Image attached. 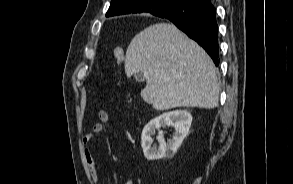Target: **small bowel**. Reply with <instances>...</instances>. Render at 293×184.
<instances>
[{"mask_svg": "<svg viewBox=\"0 0 293 184\" xmlns=\"http://www.w3.org/2000/svg\"><path fill=\"white\" fill-rule=\"evenodd\" d=\"M108 120H109V113L106 110H100L98 113V121L94 122L91 125V129L83 137V143L84 145L87 146L85 150V160L87 163L90 176L96 184L100 183V177H99V173L96 167L93 154L89 146L94 142L96 135L102 131L103 124L107 123ZM111 179L113 184H117V177L115 172H111ZM125 184H135V182L132 179H130Z\"/></svg>", "mask_w": 293, "mask_h": 184, "instance_id": "1", "label": "small bowel"}]
</instances>
